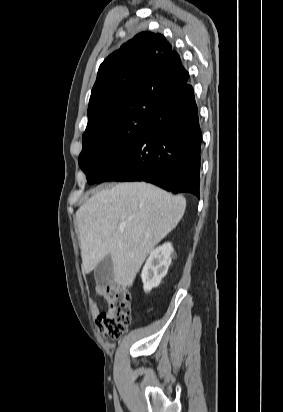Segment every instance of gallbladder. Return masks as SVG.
Returning a JSON list of instances; mask_svg holds the SVG:
<instances>
[{
	"instance_id": "gallbladder-1",
	"label": "gallbladder",
	"mask_w": 283,
	"mask_h": 412,
	"mask_svg": "<svg viewBox=\"0 0 283 412\" xmlns=\"http://www.w3.org/2000/svg\"><path fill=\"white\" fill-rule=\"evenodd\" d=\"M114 276L113 262L107 255L101 262L97 264L94 270V278L96 283L103 287L111 282Z\"/></svg>"
}]
</instances>
